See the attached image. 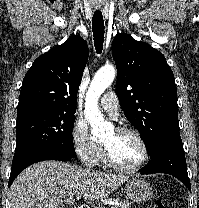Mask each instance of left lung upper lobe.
Here are the masks:
<instances>
[{
    "mask_svg": "<svg viewBox=\"0 0 199 208\" xmlns=\"http://www.w3.org/2000/svg\"><path fill=\"white\" fill-rule=\"evenodd\" d=\"M112 54L120 105L151 154L163 139L179 133L173 72L162 53L125 33L113 39Z\"/></svg>",
    "mask_w": 199,
    "mask_h": 208,
    "instance_id": "1",
    "label": "left lung upper lobe"
}]
</instances>
